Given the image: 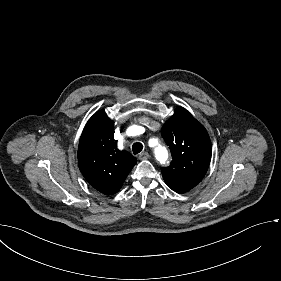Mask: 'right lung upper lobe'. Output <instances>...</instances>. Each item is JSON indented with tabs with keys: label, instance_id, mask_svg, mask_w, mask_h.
Wrapping results in <instances>:
<instances>
[{
	"label": "right lung upper lobe",
	"instance_id": "cb5924a9",
	"mask_svg": "<svg viewBox=\"0 0 281 281\" xmlns=\"http://www.w3.org/2000/svg\"><path fill=\"white\" fill-rule=\"evenodd\" d=\"M114 124L104 111L87 122L78 147L81 173L96 190L111 195L120 190L137 160L127 151H119L114 140Z\"/></svg>",
	"mask_w": 281,
	"mask_h": 281
}]
</instances>
